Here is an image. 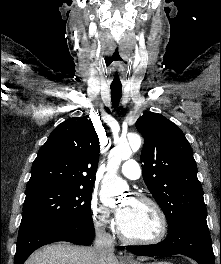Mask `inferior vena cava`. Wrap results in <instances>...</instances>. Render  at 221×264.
Instances as JSON below:
<instances>
[{
    "label": "inferior vena cava",
    "mask_w": 221,
    "mask_h": 264,
    "mask_svg": "<svg viewBox=\"0 0 221 264\" xmlns=\"http://www.w3.org/2000/svg\"><path fill=\"white\" fill-rule=\"evenodd\" d=\"M102 224L97 225L96 240H95V253L98 258L104 262L109 257L114 256V242L110 233L101 228Z\"/></svg>",
    "instance_id": "inferior-vena-cava-1"
}]
</instances>
